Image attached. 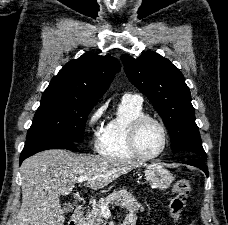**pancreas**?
<instances>
[{
	"label": "pancreas",
	"mask_w": 228,
	"mask_h": 225,
	"mask_svg": "<svg viewBox=\"0 0 228 225\" xmlns=\"http://www.w3.org/2000/svg\"><path fill=\"white\" fill-rule=\"evenodd\" d=\"M102 203L105 205H109V203H121L122 207L128 209V211H132V213H137V211H144V207H142L141 203H138L137 199L128 193L126 189H122V191H114L105 199H100L98 205L93 207L92 211L85 215L83 225H102L103 217L101 213L100 207H102Z\"/></svg>",
	"instance_id": "cf45deb5"
}]
</instances>
